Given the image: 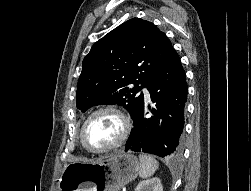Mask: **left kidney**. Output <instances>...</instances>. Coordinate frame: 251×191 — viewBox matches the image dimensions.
Instances as JSON below:
<instances>
[{"instance_id": "obj_1", "label": "left kidney", "mask_w": 251, "mask_h": 191, "mask_svg": "<svg viewBox=\"0 0 251 191\" xmlns=\"http://www.w3.org/2000/svg\"><path fill=\"white\" fill-rule=\"evenodd\" d=\"M135 191H163V185L159 177H151V179H143L135 187Z\"/></svg>"}]
</instances>
